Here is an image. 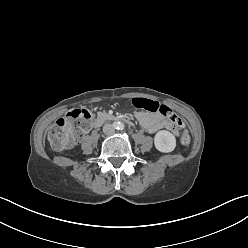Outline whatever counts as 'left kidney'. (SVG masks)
<instances>
[{"instance_id":"obj_1","label":"left kidney","mask_w":248,"mask_h":248,"mask_svg":"<svg viewBox=\"0 0 248 248\" xmlns=\"http://www.w3.org/2000/svg\"><path fill=\"white\" fill-rule=\"evenodd\" d=\"M154 144L158 151L169 153L176 147V138L169 131L161 130L156 133L154 137Z\"/></svg>"}]
</instances>
